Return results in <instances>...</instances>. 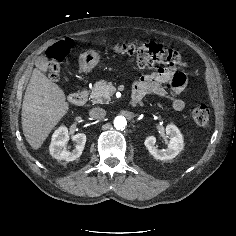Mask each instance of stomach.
<instances>
[{"label":"stomach","instance_id":"0dacf381","mask_svg":"<svg viewBox=\"0 0 236 236\" xmlns=\"http://www.w3.org/2000/svg\"><path fill=\"white\" fill-rule=\"evenodd\" d=\"M100 58V54L93 50L82 53L79 56V69L83 72H90L99 64Z\"/></svg>","mask_w":236,"mask_h":236}]
</instances>
